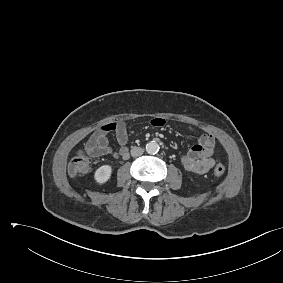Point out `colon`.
Wrapping results in <instances>:
<instances>
[{"mask_svg":"<svg viewBox=\"0 0 283 283\" xmlns=\"http://www.w3.org/2000/svg\"><path fill=\"white\" fill-rule=\"evenodd\" d=\"M91 168L89 154L84 150L77 151L70 159L68 164V172L72 176L83 175L89 172ZM225 166L216 164L213 173L217 177H221L225 173Z\"/></svg>","mask_w":283,"mask_h":283,"instance_id":"1","label":"colon"}]
</instances>
